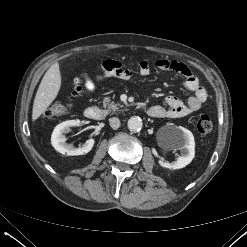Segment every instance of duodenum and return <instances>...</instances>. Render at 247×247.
<instances>
[{"instance_id": "1", "label": "duodenum", "mask_w": 247, "mask_h": 247, "mask_svg": "<svg viewBox=\"0 0 247 247\" xmlns=\"http://www.w3.org/2000/svg\"><path fill=\"white\" fill-rule=\"evenodd\" d=\"M84 116L88 119L98 121L104 118V113L98 107L90 106L84 110Z\"/></svg>"}]
</instances>
